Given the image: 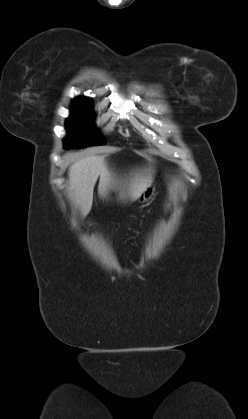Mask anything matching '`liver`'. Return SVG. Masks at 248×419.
I'll list each match as a JSON object with an SVG mask.
<instances>
[{
  "instance_id": "liver-1",
  "label": "liver",
  "mask_w": 248,
  "mask_h": 419,
  "mask_svg": "<svg viewBox=\"0 0 248 419\" xmlns=\"http://www.w3.org/2000/svg\"><path fill=\"white\" fill-rule=\"evenodd\" d=\"M99 179L98 192L106 196L113 188L122 187L121 182L115 179L109 170L104 155H89L74 162L69 167V195L80 208L83 216H86L92 207L94 186ZM152 174L145 170L136 172L125 182L127 193L121 192V196H129L131 200H137L142 192L151 185Z\"/></svg>"
}]
</instances>
